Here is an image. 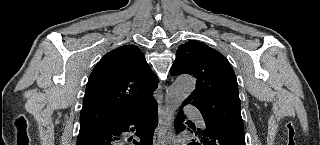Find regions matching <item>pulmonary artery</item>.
Returning <instances> with one entry per match:
<instances>
[{
	"label": "pulmonary artery",
	"mask_w": 320,
	"mask_h": 145,
	"mask_svg": "<svg viewBox=\"0 0 320 145\" xmlns=\"http://www.w3.org/2000/svg\"><path fill=\"white\" fill-rule=\"evenodd\" d=\"M185 113L189 116H191L198 124L204 126V119L202 114L198 111L195 107H188L185 110Z\"/></svg>",
	"instance_id": "1"
}]
</instances>
